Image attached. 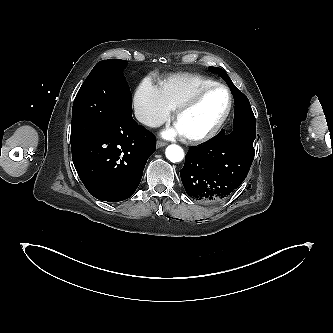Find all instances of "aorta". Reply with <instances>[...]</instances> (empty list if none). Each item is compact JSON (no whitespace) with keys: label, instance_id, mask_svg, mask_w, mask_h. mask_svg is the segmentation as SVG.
<instances>
[{"label":"aorta","instance_id":"762f6f07","mask_svg":"<svg viewBox=\"0 0 333 333\" xmlns=\"http://www.w3.org/2000/svg\"><path fill=\"white\" fill-rule=\"evenodd\" d=\"M165 154H166L167 159L173 163L180 162L184 158L183 149L176 144L169 145L166 148Z\"/></svg>","mask_w":333,"mask_h":333}]
</instances>
